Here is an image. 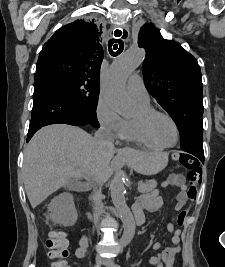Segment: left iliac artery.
Wrapping results in <instances>:
<instances>
[{
    "label": "left iliac artery",
    "mask_w": 225,
    "mask_h": 267,
    "mask_svg": "<svg viewBox=\"0 0 225 267\" xmlns=\"http://www.w3.org/2000/svg\"><path fill=\"white\" fill-rule=\"evenodd\" d=\"M116 267H121V266H119V265H116Z\"/></svg>",
    "instance_id": "1"
}]
</instances>
